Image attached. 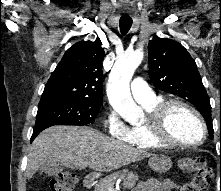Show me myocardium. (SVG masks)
<instances>
[{
  "label": "myocardium",
  "mask_w": 221,
  "mask_h": 191,
  "mask_svg": "<svg viewBox=\"0 0 221 191\" xmlns=\"http://www.w3.org/2000/svg\"><path fill=\"white\" fill-rule=\"evenodd\" d=\"M178 108L190 112L196 118L202 130V138L200 141L196 143H185L176 140L172 136L170 117ZM146 123L151 130L153 140L162 147L195 148L202 145L207 138V126L200 112L187 102L178 99H168L159 102L148 115Z\"/></svg>",
  "instance_id": "f54148a6"
}]
</instances>
